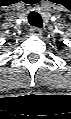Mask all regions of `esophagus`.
<instances>
[{
    "label": "esophagus",
    "instance_id": "obj_1",
    "mask_svg": "<svg viewBox=\"0 0 71 119\" xmlns=\"http://www.w3.org/2000/svg\"><path fill=\"white\" fill-rule=\"evenodd\" d=\"M30 34L34 36H40L42 34V30L37 27H33L30 29Z\"/></svg>",
    "mask_w": 71,
    "mask_h": 119
}]
</instances>
